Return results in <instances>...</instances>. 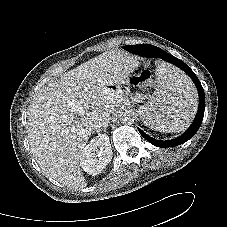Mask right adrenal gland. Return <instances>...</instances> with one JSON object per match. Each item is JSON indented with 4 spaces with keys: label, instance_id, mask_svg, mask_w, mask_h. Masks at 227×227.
Masks as SVG:
<instances>
[{
    "label": "right adrenal gland",
    "instance_id": "2a0ac1e0",
    "mask_svg": "<svg viewBox=\"0 0 227 227\" xmlns=\"http://www.w3.org/2000/svg\"><path fill=\"white\" fill-rule=\"evenodd\" d=\"M108 127V125H106L105 127H104V131H106V128Z\"/></svg>",
    "mask_w": 227,
    "mask_h": 227
}]
</instances>
